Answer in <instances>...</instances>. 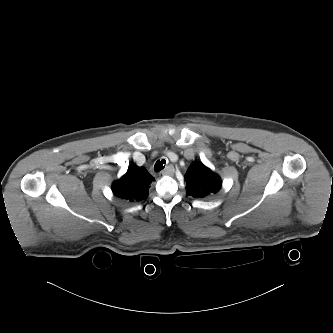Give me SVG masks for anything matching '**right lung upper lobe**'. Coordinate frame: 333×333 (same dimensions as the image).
<instances>
[{
	"mask_svg": "<svg viewBox=\"0 0 333 333\" xmlns=\"http://www.w3.org/2000/svg\"><path fill=\"white\" fill-rule=\"evenodd\" d=\"M154 181L145 167L133 166L112 184L113 194L129 202H139L148 197L149 185Z\"/></svg>",
	"mask_w": 333,
	"mask_h": 333,
	"instance_id": "right-lung-upper-lobe-1",
	"label": "right lung upper lobe"
}]
</instances>
